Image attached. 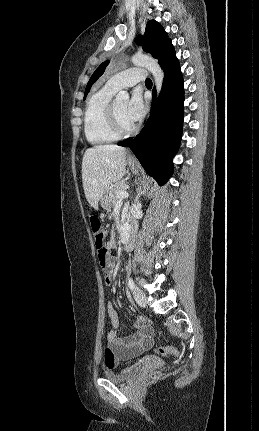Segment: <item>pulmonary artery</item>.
Wrapping results in <instances>:
<instances>
[{"mask_svg":"<svg viewBox=\"0 0 259 431\" xmlns=\"http://www.w3.org/2000/svg\"><path fill=\"white\" fill-rule=\"evenodd\" d=\"M145 77V70L140 68H131L113 75L107 81L106 85L118 91L124 87H130L145 80Z\"/></svg>","mask_w":259,"mask_h":431,"instance_id":"obj_1","label":"pulmonary artery"}]
</instances>
